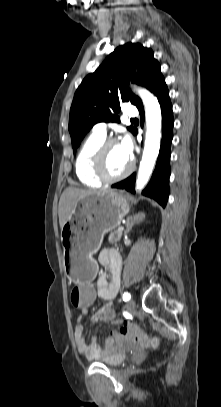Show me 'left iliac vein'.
I'll use <instances>...</instances> for the list:
<instances>
[{
	"label": "left iliac vein",
	"instance_id": "left-iliac-vein-1",
	"mask_svg": "<svg viewBox=\"0 0 221 407\" xmlns=\"http://www.w3.org/2000/svg\"><path fill=\"white\" fill-rule=\"evenodd\" d=\"M126 307H127L128 311H130V312L133 311L136 307L135 301L133 299H130L126 304Z\"/></svg>",
	"mask_w": 221,
	"mask_h": 407
}]
</instances>
